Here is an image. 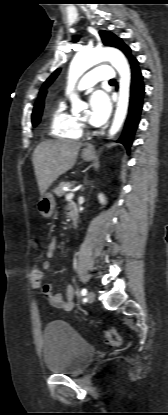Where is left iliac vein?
I'll list each match as a JSON object with an SVG mask.
<instances>
[{"label": "left iliac vein", "instance_id": "4c4485c4", "mask_svg": "<svg viewBox=\"0 0 168 415\" xmlns=\"http://www.w3.org/2000/svg\"><path fill=\"white\" fill-rule=\"evenodd\" d=\"M87 300H88L90 303H92V302H94V301H95V293H94L93 291H90V292L87 294Z\"/></svg>", "mask_w": 168, "mask_h": 415}]
</instances>
